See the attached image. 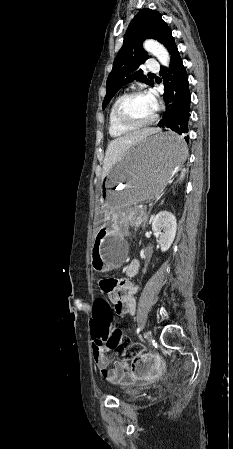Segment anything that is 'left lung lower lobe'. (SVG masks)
I'll list each match as a JSON object with an SVG mask.
<instances>
[{
  "instance_id": "obj_1",
  "label": "left lung lower lobe",
  "mask_w": 233,
  "mask_h": 449,
  "mask_svg": "<svg viewBox=\"0 0 233 449\" xmlns=\"http://www.w3.org/2000/svg\"><path fill=\"white\" fill-rule=\"evenodd\" d=\"M160 75L164 79L163 97L167 106L158 126L172 131L165 145L168 151L175 152L189 141L188 122L191 103L188 75L177 48L171 54L170 67L167 70L162 67Z\"/></svg>"
}]
</instances>
